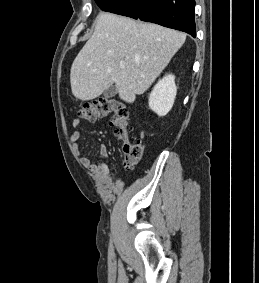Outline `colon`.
<instances>
[{"instance_id":"obj_1","label":"colon","mask_w":259,"mask_h":283,"mask_svg":"<svg viewBox=\"0 0 259 283\" xmlns=\"http://www.w3.org/2000/svg\"><path fill=\"white\" fill-rule=\"evenodd\" d=\"M112 116V124L116 135L124 141L122 146L123 164L127 167L136 165L144 150L141 140H129L131 119L128 106L114 97H102L94 102L85 103L78 111L81 119L94 121L99 118Z\"/></svg>"}]
</instances>
